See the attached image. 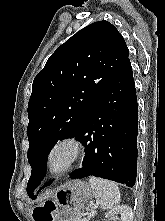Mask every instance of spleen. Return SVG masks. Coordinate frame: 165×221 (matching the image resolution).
<instances>
[{
	"mask_svg": "<svg viewBox=\"0 0 165 221\" xmlns=\"http://www.w3.org/2000/svg\"><path fill=\"white\" fill-rule=\"evenodd\" d=\"M89 184L93 189V196L104 210L114 208L120 202V191L114 182L91 177Z\"/></svg>",
	"mask_w": 165,
	"mask_h": 221,
	"instance_id": "spleen-1",
	"label": "spleen"
}]
</instances>
